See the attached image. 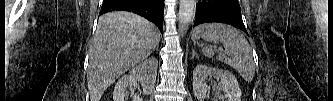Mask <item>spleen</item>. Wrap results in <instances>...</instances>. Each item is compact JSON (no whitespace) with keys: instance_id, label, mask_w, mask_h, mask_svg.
Instances as JSON below:
<instances>
[{"instance_id":"3e777b00","label":"spleen","mask_w":333,"mask_h":101,"mask_svg":"<svg viewBox=\"0 0 333 101\" xmlns=\"http://www.w3.org/2000/svg\"><path fill=\"white\" fill-rule=\"evenodd\" d=\"M213 43H222L227 55H219V60L233 67L242 78L251 82L255 75V65L252 57V51L248 41L235 28L221 24H203L198 26L192 34L193 40L199 38ZM202 53L207 57L214 55L212 47L202 49Z\"/></svg>"}]
</instances>
